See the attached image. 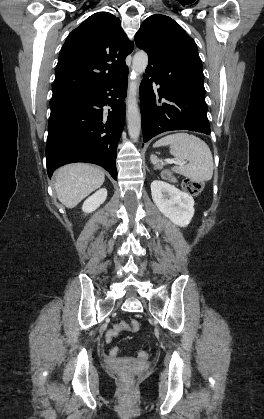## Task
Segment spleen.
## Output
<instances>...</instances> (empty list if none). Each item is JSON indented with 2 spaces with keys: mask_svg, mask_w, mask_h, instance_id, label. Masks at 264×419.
<instances>
[{
  "mask_svg": "<svg viewBox=\"0 0 264 419\" xmlns=\"http://www.w3.org/2000/svg\"><path fill=\"white\" fill-rule=\"evenodd\" d=\"M170 145V153L180 161H188L173 167V170L193 181L204 182L212 179L213 158L208 145L192 134L180 132L168 135L158 140L154 147ZM151 162L156 164L158 159L151 155Z\"/></svg>",
  "mask_w": 264,
  "mask_h": 419,
  "instance_id": "obj_1",
  "label": "spleen"
}]
</instances>
